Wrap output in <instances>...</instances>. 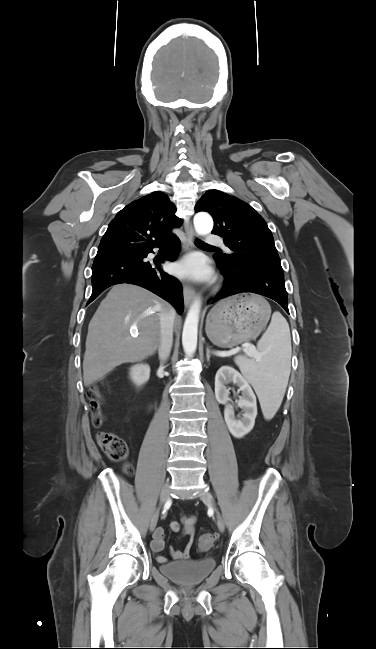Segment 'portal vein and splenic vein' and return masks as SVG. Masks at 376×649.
<instances>
[{"instance_id": "1", "label": "portal vein and splenic vein", "mask_w": 376, "mask_h": 649, "mask_svg": "<svg viewBox=\"0 0 376 649\" xmlns=\"http://www.w3.org/2000/svg\"><path fill=\"white\" fill-rule=\"evenodd\" d=\"M245 348H246L249 355L255 356L254 352H252V350L250 348H248V347H245ZM238 351H239V349L234 348V349L230 350L229 354L233 355V354H236Z\"/></svg>"}]
</instances>
